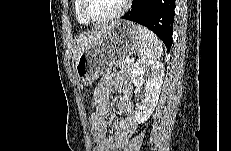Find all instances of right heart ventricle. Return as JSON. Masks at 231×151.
I'll return each mask as SVG.
<instances>
[{
  "mask_svg": "<svg viewBox=\"0 0 231 151\" xmlns=\"http://www.w3.org/2000/svg\"><path fill=\"white\" fill-rule=\"evenodd\" d=\"M80 8H81V0H76L75 1V8H74L76 19L80 24L87 25L88 22L85 21L84 18L82 17Z\"/></svg>",
  "mask_w": 231,
  "mask_h": 151,
  "instance_id": "e07e8e85",
  "label": "right heart ventricle"
}]
</instances>
